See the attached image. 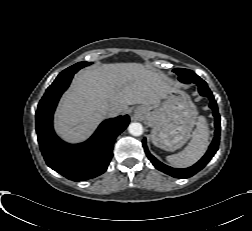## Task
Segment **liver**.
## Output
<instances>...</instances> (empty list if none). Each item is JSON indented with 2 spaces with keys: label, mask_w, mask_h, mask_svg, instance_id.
Returning <instances> with one entry per match:
<instances>
[{
  "label": "liver",
  "mask_w": 252,
  "mask_h": 231,
  "mask_svg": "<svg viewBox=\"0 0 252 231\" xmlns=\"http://www.w3.org/2000/svg\"><path fill=\"white\" fill-rule=\"evenodd\" d=\"M174 88L162 72L139 63H111L79 72L63 95L55 116L58 134L67 141L88 138L106 117L103 109L118 114L129 105L158 104Z\"/></svg>",
  "instance_id": "1"
}]
</instances>
